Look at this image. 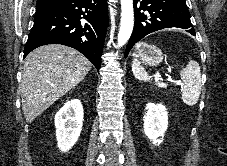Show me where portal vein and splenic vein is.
Here are the masks:
<instances>
[{
  "label": "portal vein and splenic vein",
  "mask_w": 227,
  "mask_h": 166,
  "mask_svg": "<svg viewBox=\"0 0 227 166\" xmlns=\"http://www.w3.org/2000/svg\"><path fill=\"white\" fill-rule=\"evenodd\" d=\"M159 77H160V75H156V76H155V80L158 81V80L160 79ZM168 81L173 82V83H175L176 85H181V86L183 85L182 82H180V81H174V80H172V79H170V78L168 79ZM163 85H165V84H163ZM165 86H166V85H165Z\"/></svg>",
  "instance_id": "1"
}]
</instances>
